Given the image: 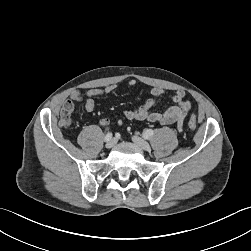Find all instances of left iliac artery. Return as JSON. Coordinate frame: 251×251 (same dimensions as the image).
I'll list each match as a JSON object with an SVG mask.
<instances>
[{"label": "left iliac artery", "instance_id": "1", "mask_svg": "<svg viewBox=\"0 0 251 251\" xmlns=\"http://www.w3.org/2000/svg\"><path fill=\"white\" fill-rule=\"evenodd\" d=\"M154 134V131L152 129H146L144 132H143V137L148 139L150 138L152 135Z\"/></svg>", "mask_w": 251, "mask_h": 251}]
</instances>
